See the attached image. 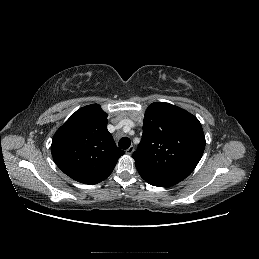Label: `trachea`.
<instances>
[{"label": "trachea", "mask_w": 259, "mask_h": 259, "mask_svg": "<svg viewBox=\"0 0 259 259\" xmlns=\"http://www.w3.org/2000/svg\"><path fill=\"white\" fill-rule=\"evenodd\" d=\"M131 145V141L129 138L127 137H123L120 139L119 143H118V146L123 149V150H126L130 147Z\"/></svg>", "instance_id": "trachea-1"}]
</instances>
